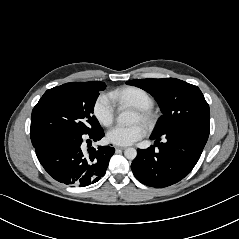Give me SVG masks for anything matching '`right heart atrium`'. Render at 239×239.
Masks as SVG:
<instances>
[{"label":"right heart atrium","mask_w":239,"mask_h":239,"mask_svg":"<svg viewBox=\"0 0 239 239\" xmlns=\"http://www.w3.org/2000/svg\"><path fill=\"white\" fill-rule=\"evenodd\" d=\"M93 114L100 124L109 126L115 116V106L112 99L106 94L99 95L93 105Z\"/></svg>","instance_id":"1"}]
</instances>
